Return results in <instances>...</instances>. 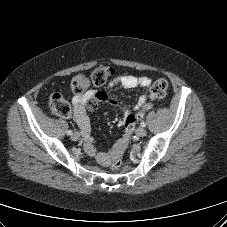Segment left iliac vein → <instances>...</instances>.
<instances>
[{
	"mask_svg": "<svg viewBox=\"0 0 227 227\" xmlns=\"http://www.w3.org/2000/svg\"><path fill=\"white\" fill-rule=\"evenodd\" d=\"M136 135L139 137H144L146 135V130L140 127L136 130Z\"/></svg>",
	"mask_w": 227,
	"mask_h": 227,
	"instance_id": "left-iliac-vein-1",
	"label": "left iliac vein"
}]
</instances>
